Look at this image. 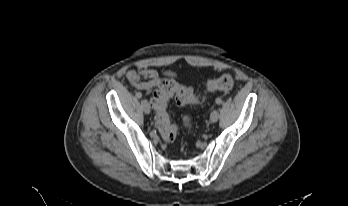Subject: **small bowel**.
Segmentation results:
<instances>
[{"instance_id":"obj_1","label":"small bowel","mask_w":348,"mask_h":206,"mask_svg":"<svg viewBox=\"0 0 348 206\" xmlns=\"http://www.w3.org/2000/svg\"><path fill=\"white\" fill-rule=\"evenodd\" d=\"M163 75L172 76L170 72H165ZM126 78L133 87L145 91L147 95H150L163 80L158 70L148 67L128 70Z\"/></svg>"}]
</instances>
